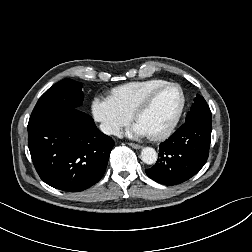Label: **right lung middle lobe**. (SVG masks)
Instances as JSON below:
<instances>
[{"label":"right lung middle lobe","instance_id":"right-lung-middle-lobe-1","mask_svg":"<svg viewBox=\"0 0 252 252\" xmlns=\"http://www.w3.org/2000/svg\"><path fill=\"white\" fill-rule=\"evenodd\" d=\"M82 84L64 79L50 87L38 100L29 121L63 109H79L84 99Z\"/></svg>","mask_w":252,"mask_h":252}]
</instances>
